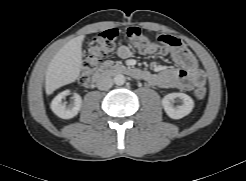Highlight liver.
<instances>
[{
	"mask_svg": "<svg viewBox=\"0 0 246 181\" xmlns=\"http://www.w3.org/2000/svg\"><path fill=\"white\" fill-rule=\"evenodd\" d=\"M83 40V35L71 39L51 60L45 76L47 95L64 85L75 82L79 77L82 67Z\"/></svg>",
	"mask_w": 246,
	"mask_h": 181,
	"instance_id": "liver-1",
	"label": "liver"
}]
</instances>
